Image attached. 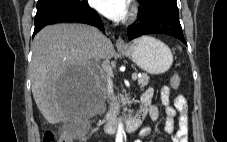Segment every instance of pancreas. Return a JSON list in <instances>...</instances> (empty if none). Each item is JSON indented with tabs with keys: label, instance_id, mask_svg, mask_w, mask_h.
<instances>
[{
	"label": "pancreas",
	"instance_id": "obj_1",
	"mask_svg": "<svg viewBox=\"0 0 227 142\" xmlns=\"http://www.w3.org/2000/svg\"><path fill=\"white\" fill-rule=\"evenodd\" d=\"M148 83H149V77L147 76V74H142L141 77L138 78L139 86L144 87L148 85ZM127 104H129V99L126 96L120 95V98L118 99L117 97L113 96L114 109L119 110L120 106L125 107Z\"/></svg>",
	"mask_w": 227,
	"mask_h": 142
}]
</instances>
